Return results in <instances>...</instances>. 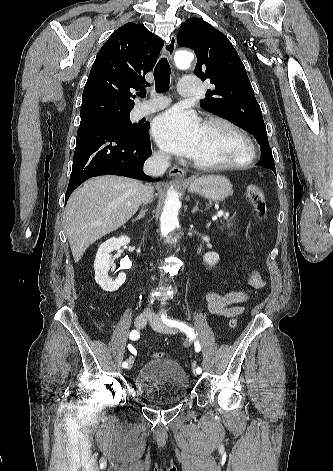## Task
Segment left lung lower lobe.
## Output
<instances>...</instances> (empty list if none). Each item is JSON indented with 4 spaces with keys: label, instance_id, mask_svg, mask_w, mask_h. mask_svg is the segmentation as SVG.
<instances>
[{
    "label": "left lung lower lobe",
    "instance_id": "left-lung-lower-lobe-1",
    "mask_svg": "<svg viewBox=\"0 0 333 471\" xmlns=\"http://www.w3.org/2000/svg\"><path fill=\"white\" fill-rule=\"evenodd\" d=\"M257 165H261V166H269L268 168L272 169L275 174H276V169H275V165H274V162H271V161H263V160H260ZM266 167V166H265Z\"/></svg>",
    "mask_w": 333,
    "mask_h": 471
}]
</instances>
